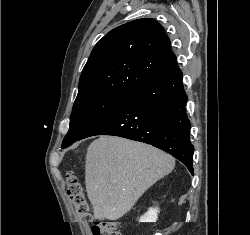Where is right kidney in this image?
<instances>
[{
  "label": "right kidney",
  "mask_w": 250,
  "mask_h": 235,
  "mask_svg": "<svg viewBox=\"0 0 250 235\" xmlns=\"http://www.w3.org/2000/svg\"><path fill=\"white\" fill-rule=\"evenodd\" d=\"M158 212L159 210L156 208H150L147 213H145L143 216H141L140 221L141 222H156L158 218Z\"/></svg>",
  "instance_id": "1"
}]
</instances>
